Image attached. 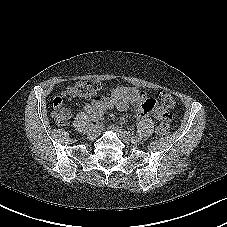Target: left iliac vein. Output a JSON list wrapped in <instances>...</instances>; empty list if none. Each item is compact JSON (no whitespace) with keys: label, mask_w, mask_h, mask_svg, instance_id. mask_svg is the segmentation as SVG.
Here are the masks:
<instances>
[{"label":"left iliac vein","mask_w":227,"mask_h":227,"mask_svg":"<svg viewBox=\"0 0 227 227\" xmlns=\"http://www.w3.org/2000/svg\"><path fill=\"white\" fill-rule=\"evenodd\" d=\"M119 137L127 144H138L140 140H137L136 136H133L130 132L123 129L118 130Z\"/></svg>","instance_id":"obj_1"}]
</instances>
